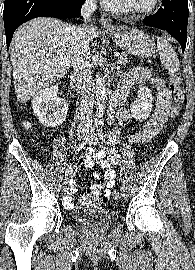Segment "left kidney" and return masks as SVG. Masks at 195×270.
<instances>
[{
    "label": "left kidney",
    "instance_id": "1",
    "mask_svg": "<svg viewBox=\"0 0 195 270\" xmlns=\"http://www.w3.org/2000/svg\"><path fill=\"white\" fill-rule=\"evenodd\" d=\"M137 97L138 98L131 104V113L133 118L142 121L149 117L154 98L152 91L146 86H142L138 89Z\"/></svg>",
    "mask_w": 195,
    "mask_h": 270
}]
</instances>
